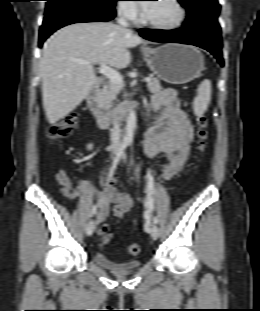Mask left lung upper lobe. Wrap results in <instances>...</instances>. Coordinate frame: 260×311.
Returning <instances> with one entry per match:
<instances>
[{
    "label": "left lung upper lobe",
    "instance_id": "obj_1",
    "mask_svg": "<svg viewBox=\"0 0 260 311\" xmlns=\"http://www.w3.org/2000/svg\"><path fill=\"white\" fill-rule=\"evenodd\" d=\"M187 10L186 25H204L220 30L218 14L220 5L217 0H178Z\"/></svg>",
    "mask_w": 260,
    "mask_h": 311
}]
</instances>
